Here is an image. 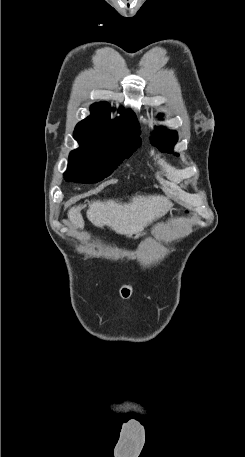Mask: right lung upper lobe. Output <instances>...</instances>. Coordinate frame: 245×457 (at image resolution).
Segmentation results:
<instances>
[{
  "instance_id": "1",
  "label": "right lung upper lobe",
  "mask_w": 245,
  "mask_h": 457,
  "mask_svg": "<svg viewBox=\"0 0 245 457\" xmlns=\"http://www.w3.org/2000/svg\"><path fill=\"white\" fill-rule=\"evenodd\" d=\"M91 115L82 120L80 125H93L105 127H129L139 129V124L132 111H122V116L111 120V106L106 102L95 103L91 106Z\"/></svg>"
}]
</instances>
